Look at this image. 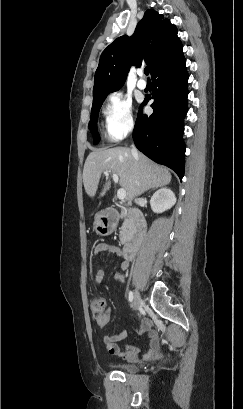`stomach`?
Masks as SVG:
<instances>
[{
    "label": "stomach",
    "instance_id": "stomach-1",
    "mask_svg": "<svg viewBox=\"0 0 243 409\" xmlns=\"http://www.w3.org/2000/svg\"><path fill=\"white\" fill-rule=\"evenodd\" d=\"M94 219L93 228L97 234L106 236L114 231L116 224L110 220L105 211L98 212Z\"/></svg>",
    "mask_w": 243,
    "mask_h": 409
}]
</instances>
